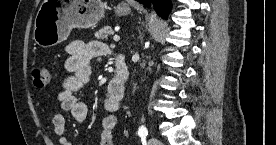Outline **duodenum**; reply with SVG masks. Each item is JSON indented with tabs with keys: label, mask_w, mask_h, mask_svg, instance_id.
Here are the masks:
<instances>
[{
	"label": "duodenum",
	"mask_w": 276,
	"mask_h": 145,
	"mask_svg": "<svg viewBox=\"0 0 276 145\" xmlns=\"http://www.w3.org/2000/svg\"><path fill=\"white\" fill-rule=\"evenodd\" d=\"M116 77L113 79V86L119 91L124 93L125 85L129 77V69L126 58L119 55L115 60Z\"/></svg>",
	"instance_id": "410a0bca"
}]
</instances>
